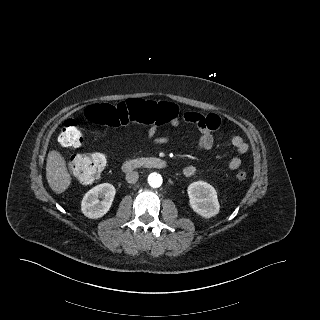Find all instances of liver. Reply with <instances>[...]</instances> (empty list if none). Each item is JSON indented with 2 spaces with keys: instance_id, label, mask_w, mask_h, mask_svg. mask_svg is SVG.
Segmentation results:
<instances>
[{
  "instance_id": "1",
  "label": "liver",
  "mask_w": 320,
  "mask_h": 320,
  "mask_svg": "<svg viewBox=\"0 0 320 320\" xmlns=\"http://www.w3.org/2000/svg\"><path fill=\"white\" fill-rule=\"evenodd\" d=\"M46 177L50 188L57 194L63 193L71 184L64 157L56 150L48 153Z\"/></svg>"
}]
</instances>
